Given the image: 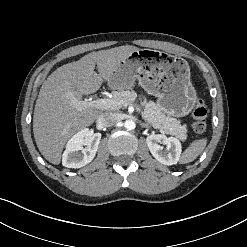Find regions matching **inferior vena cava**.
<instances>
[{"mask_svg": "<svg viewBox=\"0 0 247 247\" xmlns=\"http://www.w3.org/2000/svg\"><path fill=\"white\" fill-rule=\"evenodd\" d=\"M118 121V116L116 113L106 112L102 113L97 118V125L100 127H108L114 125Z\"/></svg>", "mask_w": 247, "mask_h": 247, "instance_id": "obj_1", "label": "inferior vena cava"}]
</instances>
